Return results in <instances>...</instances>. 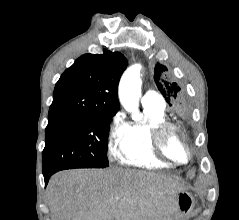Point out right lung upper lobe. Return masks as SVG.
I'll use <instances>...</instances> for the list:
<instances>
[{
    "label": "right lung upper lobe",
    "mask_w": 239,
    "mask_h": 220,
    "mask_svg": "<svg viewBox=\"0 0 239 220\" xmlns=\"http://www.w3.org/2000/svg\"><path fill=\"white\" fill-rule=\"evenodd\" d=\"M126 67V58L117 52L82 55L56 83L49 117L116 114L118 83Z\"/></svg>",
    "instance_id": "cb5924a9"
}]
</instances>
